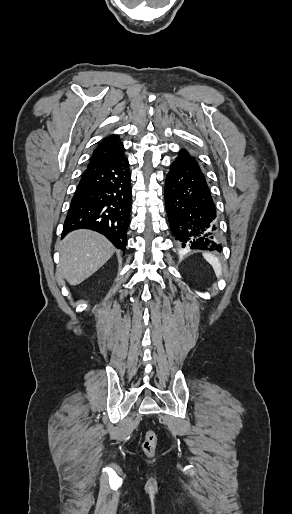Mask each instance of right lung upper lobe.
I'll return each mask as SVG.
<instances>
[{"mask_svg": "<svg viewBox=\"0 0 292 514\" xmlns=\"http://www.w3.org/2000/svg\"><path fill=\"white\" fill-rule=\"evenodd\" d=\"M124 147L118 135H109L104 138L94 150L90 163L100 164L124 154Z\"/></svg>", "mask_w": 292, "mask_h": 514, "instance_id": "right-lung-upper-lobe-1", "label": "right lung upper lobe"}]
</instances>
